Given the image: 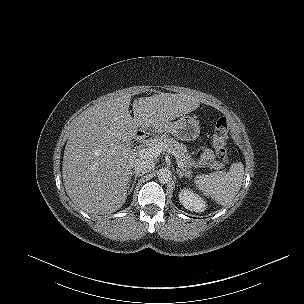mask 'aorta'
<instances>
[{
  "mask_svg": "<svg viewBox=\"0 0 304 304\" xmlns=\"http://www.w3.org/2000/svg\"><path fill=\"white\" fill-rule=\"evenodd\" d=\"M158 180L161 182V183H167L171 180V177H172V173L169 169L167 168H162L158 171Z\"/></svg>",
  "mask_w": 304,
  "mask_h": 304,
  "instance_id": "aorta-1",
  "label": "aorta"
}]
</instances>
